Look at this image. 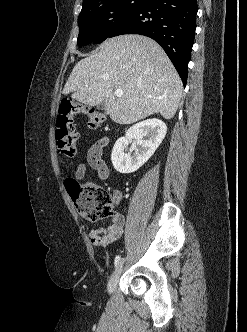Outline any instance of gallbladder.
Masks as SVG:
<instances>
[{"mask_svg":"<svg viewBox=\"0 0 247 332\" xmlns=\"http://www.w3.org/2000/svg\"><path fill=\"white\" fill-rule=\"evenodd\" d=\"M98 109H101V110L104 109V102H101V103L98 105Z\"/></svg>","mask_w":247,"mask_h":332,"instance_id":"bac80fb5","label":"gallbladder"}]
</instances>
